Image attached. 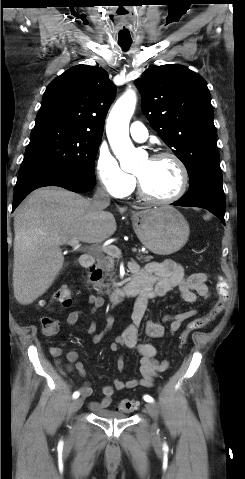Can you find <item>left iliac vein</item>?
Returning <instances> with one entry per match:
<instances>
[{
  "label": "left iliac vein",
  "instance_id": "1",
  "mask_svg": "<svg viewBox=\"0 0 245 479\" xmlns=\"http://www.w3.org/2000/svg\"><path fill=\"white\" fill-rule=\"evenodd\" d=\"M145 409L154 421L153 425H152V430H153V432H156L157 429H158V424H157L158 411H157V408L153 403H146L145 404Z\"/></svg>",
  "mask_w": 245,
  "mask_h": 479
}]
</instances>
